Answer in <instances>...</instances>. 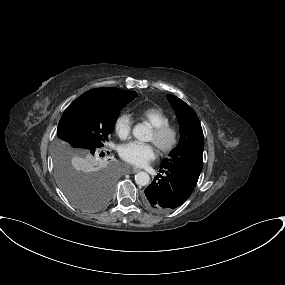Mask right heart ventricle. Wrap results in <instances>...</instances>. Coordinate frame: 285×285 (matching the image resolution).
I'll use <instances>...</instances> for the list:
<instances>
[{"label": "right heart ventricle", "mask_w": 285, "mask_h": 285, "mask_svg": "<svg viewBox=\"0 0 285 285\" xmlns=\"http://www.w3.org/2000/svg\"><path fill=\"white\" fill-rule=\"evenodd\" d=\"M135 115L139 119L146 120L152 127H158L170 123L168 114L159 107L148 106L136 110Z\"/></svg>", "instance_id": "e07e8e85"}]
</instances>
